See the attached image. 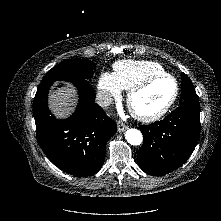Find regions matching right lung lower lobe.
<instances>
[{"label": "right lung lower lobe", "instance_id": "1", "mask_svg": "<svg viewBox=\"0 0 221 221\" xmlns=\"http://www.w3.org/2000/svg\"><path fill=\"white\" fill-rule=\"evenodd\" d=\"M79 91L75 113L56 119L47 106L51 84L41 83L34 98L38 143L59 169L76 177L95 174L103 165L106 144L117 125L95 103V91L84 79L72 81Z\"/></svg>", "mask_w": 221, "mask_h": 221}]
</instances>
